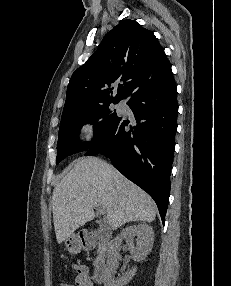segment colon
<instances>
[{"label": "colon", "mask_w": 231, "mask_h": 286, "mask_svg": "<svg viewBox=\"0 0 231 286\" xmlns=\"http://www.w3.org/2000/svg\"><path fill=\"white\" fill-rule=\"evenodd\" d=\"M58 286H72V285H70V284H68V283L63 282V283H60Z\"/></svg>", "instance_id": "1"}]
</instances>
